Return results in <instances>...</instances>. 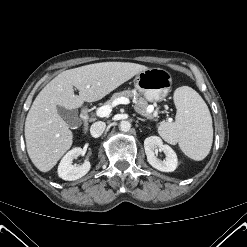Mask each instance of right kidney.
<instances>
[{
  "mask_svg": "<svg viewBox=\"0 0 247 247\" xmlns=\"http://www.w3.org/2000/svg\"><path fill=\"white\" fill-rule=\"evenodd\" d=\"M83 154L80 147H75L61 159L58 166V176L66 181L77 180L88 173L91 168L90 162L85 160L82 165H73V160Z\"/></svg>",
  "mask_w": 247,
  "mask_h": 247,
  "instance_id": "right-kidney-1",
  "label": "right kidney"
}]
</instances>
